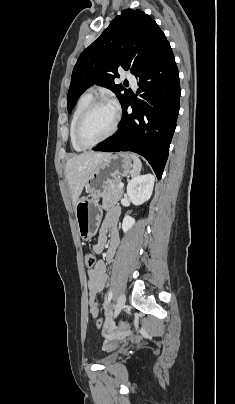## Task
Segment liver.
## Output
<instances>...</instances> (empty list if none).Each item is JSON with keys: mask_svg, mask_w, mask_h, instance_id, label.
I'll return each mask as SVG.
<instances>
[{"mask_svg": "<svg viewBox=\"0 0 235 404\" xmlns=\"http://www.w3.org/2000/svg\"><path fill=\"white\" fill-rule=\"evenodd\" d=\"M109 155L105 152H85L67 161L65 173L74 207L90 175Z\"/></svg>", "mask_w": 235, "mask_h": 404, "instance_id": "liver-1", "label": "liver"}]
</instances>
